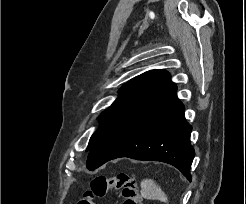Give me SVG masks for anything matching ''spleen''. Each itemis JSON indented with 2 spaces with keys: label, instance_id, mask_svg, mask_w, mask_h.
<instances>
[{
  "label": "spleen",
  "instance_id": "3e777b00",
  "mask_svg": "<svg viewBox=\"0 0 246 204\" xmlns=\"http://www.w3.org/2000/svg\"><path fill=\"white\" fill-rule=\"evenodd\" d=\"M141 195L148 200H159L167 203L168 197L161 187L152 179H143L141 181Z\"/></svg>",
  "mask_w": 246,
  "mask_h": 204
}]
</instances>
